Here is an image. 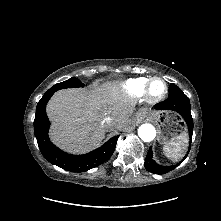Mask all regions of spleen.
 <instances>
[{
    "label": "spleen",
    "mask_w": 221,
    "mask_h": 221,
    "mask_svg": "<svg viewBox=\"0 0 221 221\" xmlns=\"http://www.w3.org/2000/svg\"><path fill=\"white\" fill-rule=\"evenodd\" d=\"M188 143V136L186 133L180 134L171 140L167 145H164L163 151L166 157L177 161L182 157L184 151L186 150Z\"/></svg>",
    "instance_id": "spleen-1"
}]
</instances>
